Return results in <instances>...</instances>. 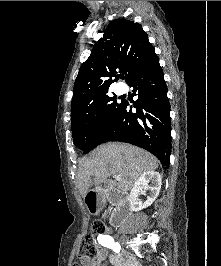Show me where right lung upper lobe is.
<instances>
[{
    "label": "right lung upper lobe",
    "mask_w": 221,
    "mask_h": 266,
    "mask_svg": "<svg viewBox=\"0 0 221 266\" xmlns=\"http://www.w3.org/2000/svg\"><path fill=\"white\" fill-rule=\"evenodd\" d=\"M157 55L142 26L126 19L113 20L81 65L75 80L71 118L87 112L108 93L112 77L125 74L128 84L135 73L150 66Z\"/></svg>",
    "instance_id": "cb5924a9"
}]
</instances>
